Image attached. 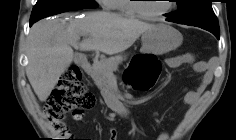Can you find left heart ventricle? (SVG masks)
Returning a JSON list of instances; mask_svg holds the SVG:
<instances>
[{
  "label": "left heart ventricle",
  "mask_w": 236,
  "mask_h": 140,
  "mask_svg": "<svg viewBox=\"0 0 236 140\" xmlns=\"http://www.w3.org/2000/svg\"><path fill=\"white\" fill-rule=\"evenodd\" d=\"M143 5L144 9L150 13H158L166 10L169 2L163 0H147Z\"/></svg>",
  "instance_id": "b2bd125f"
}]
</instances>
